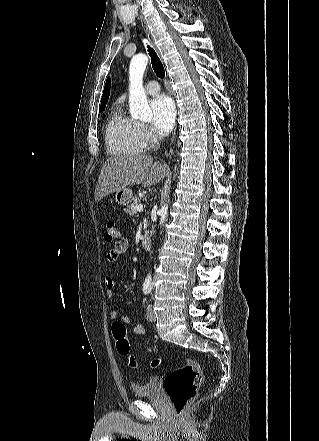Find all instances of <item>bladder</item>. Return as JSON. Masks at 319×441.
I'll list each match as a JSON object with an SVG mask.
<instances>
[{
    "label": "bladder",
    "mask_w": 319,
    "mask_h": 441,
    "mask_svg": "<svg viewBox=\"0 0 319 441\" xmlns=\"http://www.w3.org/2000/svg\"><path fill=\"white\" fill-rule=\"evenodd\" d=\"M132 392L137 398L155 397L158 394V378L151 377L140 384H133Z\"/></svg>",
    "instance_id": "obj_1"
}]
</instances>
